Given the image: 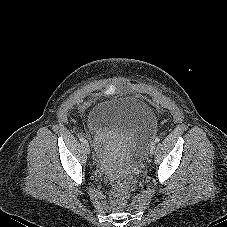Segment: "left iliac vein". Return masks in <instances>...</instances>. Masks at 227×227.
<instances>
[{"mask_svg": "<svg viewBox=\"0 0 227 227\" xmlns=\"http://www.w3.org/2000/svg\"><path fill=\"white\" fill-rule=\"evenodd\" d=\"M155 148H156L155 143H152V144L150 145V148H149V154H150V155H153V154H154Z\"/></svg>", "mask_w": 227, "mask_h": 227, "instance_id": "4c4485c4", "label": "left iliac vein"}]
</instances>
